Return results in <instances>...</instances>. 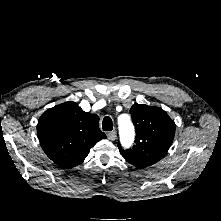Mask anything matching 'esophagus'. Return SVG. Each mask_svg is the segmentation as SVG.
<instances>
[{"mask_svg": "<svg viewBox=\"0 0 221 221\" xmlns=\"http://www.w3.org/2000/svg\"><path fill=\"white\" fill-rule=\"evenodd\" d=\"M107 137L109 140L114 141L117 137V133L116 131H111L107 134Z\"/></svg>", "mask_w": 221, "mask_h": 221, "instance_id": "34e87169", "label": "esophagus"}]
</instances>
